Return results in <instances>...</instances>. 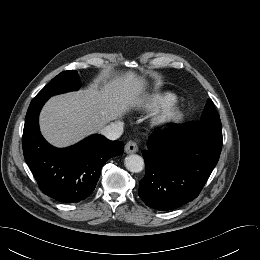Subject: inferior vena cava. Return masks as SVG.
I'll return each instance as SVG.
<instances>
[{"label": "inferior vena cava", "instance_id": "602c4592", "mask_svg": "<svg viewBox=\"0 0 260 260\" xmlns=\"http://www.w3.org/2000/svg\"><path fill=\"white\" fill-rule=\"evenodd\" d=\"M100 133L109 140L118 139L123 133V123L120 121L112 122L104 127Z\"/></svg>", "mask_w": 260, "mask_h": 260}]
</instances>
